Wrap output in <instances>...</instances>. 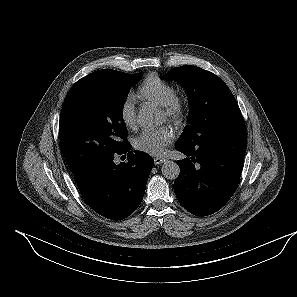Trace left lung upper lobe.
I'll list each match as a JSON object with an SVG mask.
<instances>
[{
    "label": "left lung upper lobe",
    "mask_w": 297,
    "mask_h": 297,
    "mask_svg": "<svg viewBox=\"0 0 297 297\" xmlns=\"http://www.w3.org/2000/svg\"><path fill=\"white\" fill-rule=\"evenodd\" d=\"M160 78L178 82L188 94V125L178 139V144L195 146L211 135L243 125L235 97L212 72L196 66H181Z\"/></svg>",
    "instance_id": "1"
}]
</instances>
